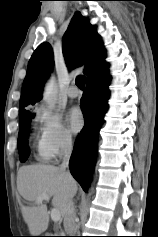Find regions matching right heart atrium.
Masks as SVG:
<instances>
[{"label":"right heart atrium","instance_id":"right-heart-atrium-1","mask_svg":"<svg viewBox=\"0 0 158 237\" xmlns=\"http://www.w3.org/2000/svg\"><path fill=\"white\" fill-rule=\"evenodd\" d=\"M40 146L46 156L57 159L72 144V136L58 114L43 112L40 116Z\"/></svg>","mask_w":158,"mask_h":237}]
</instances>
